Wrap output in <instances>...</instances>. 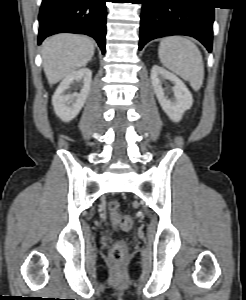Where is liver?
Listing matches in <instances>:
<instances>
[{
	"label": "liver",
	"instance_id": "6515ba94",
	"mask_svg": "<svg viewBox=\"0 0 246 300\" xmlns=\"http://www.w3.org/2000/svg\"><path fill=\"white\" fill-rule=\"evenodd\" d=\"M94 51L92 40L82 35L62 33L46 39L41 55L49 84H55L84 67L92 59Z\"/></svg>",
	"mask_w": 246,
	"mask_h": 300
}]
</instances>
